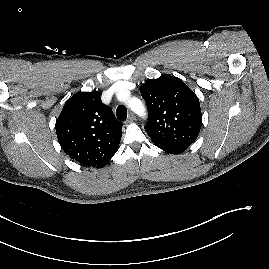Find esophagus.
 Instances as JSON below:
<instances>
[{
    "label": "esophagus",
    "mask_w": 269,
    "mask_h": 269,
    "mask_svg": "<svg viewBox=\"0 0 269 269\" xmlns=\"http://www.w3.org/2000/svg\"><path fill=\"white\" fill-rule=\"evenodd\" d=\"M135 119H136L135 115H134L133 113H129L127 122H128V123H131V122H133Z\"/></svg>",
    "instance_id": "obj_1"
}]
</instances>
